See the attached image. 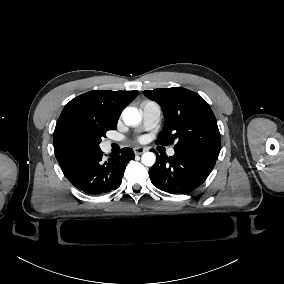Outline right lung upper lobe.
<instances>
[{"label":"right lung upper lobe","instance_id":"obj_1","mask_svg":"<svg viewBox=\"0 0 284 284\" xmlns=\"http://www.w3.org/2000/svg\"><path fill=\"white\" fill-rule=\"evenodd\" d=\"M138 91H90L68 102L53 134L54 151L61 166L81 156L96 152L78 141L72 132L76 124L103 130H114L123 109L138 95Z\"/></svg>","mask_w":284,"mask_h":284}]
</instances>
